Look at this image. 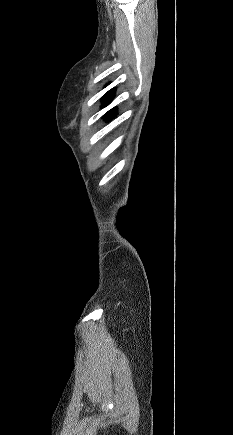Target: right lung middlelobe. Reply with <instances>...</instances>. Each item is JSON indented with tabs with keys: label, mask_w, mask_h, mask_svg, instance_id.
I'll return each instance as SVG.
<instances>
[{
	"label": "right lung middle lobe",
	"mask_w": 233,
	"mask_h": 435,
	"mask_svg": "<svg viewBox=\"0 0 233 435\" xmlns=\"http://www.w3.org/2000/svg\"><path fill=\"white\" fill-rule=\"evenodd\" d=\"M110 116H106L107 119H109Z\"/></svg>",
	"instance_id": "1"
}]
</instances>
